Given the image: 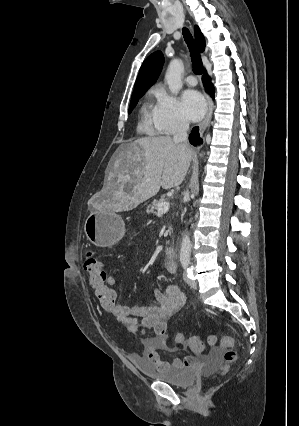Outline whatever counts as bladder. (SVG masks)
<instances>
[{
    "instance_id": "31cf9c89",
    "label": "bladder",
    "mask_w": 299,
    "mask_h": 426,
    "mask_svg": "<svg viewBox=\"0 0 299 426\" xmlns=\"http://www.w3.org/2000/svg\"><path fill=\"white\" fill-rule=\"evenodd\" d=\"M134 362L137 363L139 369L146 377L180 388L191 386L197 378V373L192 368L176 367L173 365L166 368H157L143 360H137Z\"/></svg>"
}]
</instances>
